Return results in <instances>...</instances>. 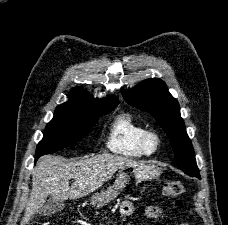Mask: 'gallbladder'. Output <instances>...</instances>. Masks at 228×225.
I'll return each instance as SVG.
<instances>
[{
  "mask_svg": "<svg viewBox=\"0 0 228 225\" xmlns=\"http://www.w3.org/2000/svg\"><path fill=\"white\" fill-rule=\"evenodd\" d=\"M64 207L65 201H61V199H49L44 207H42L41 213H43V215H55V213L63 211Z\"/></svg>",
  "mask_w": 228,
  "mask_h": 225,
  "instance_id": "bac80fb5",
  "label": "gallbladder"
}]
</instances>
